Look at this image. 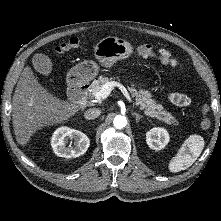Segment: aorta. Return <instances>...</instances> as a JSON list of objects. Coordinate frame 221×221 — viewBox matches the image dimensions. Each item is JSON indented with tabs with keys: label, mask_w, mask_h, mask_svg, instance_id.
Listing matches in <instances>:
<instances>
[{
	"label": "aorta",
	"mask_w": 221,
	"mask_h": 221,
	"mask_svg": "<svg viewBox=\"0 0 221 221\" xmlns=\"http://www.w3.org/2000/svg\"><path fill=\"white\" fill-rule=\"evenodd\" d=\"M113 123L115 128L122 129L127 125V119L125 116L117 115L115 116Z\"/></svg>",
	"instance_id": "aorta-1"
}]
</instances>
